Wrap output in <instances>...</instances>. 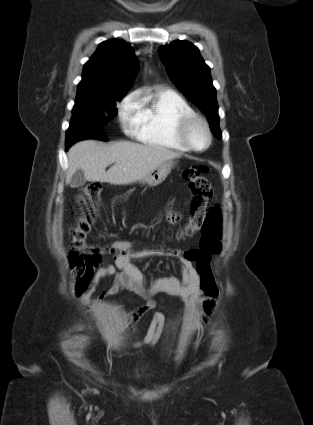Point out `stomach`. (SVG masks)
I'll use <instances>...</instances> for the list:
<instances>
[{"mask_svg": "<svg viewBox=\"0 0 313 425\" xmlns=\"http://www.w3.org/2000/svg\"><path fill=\"white\" fill-rule=\"evenodd\" d=\"M173 166L174 162L172 160L161 163L157 168L141 179L142 183H146L151 187L161 184L171 172Z\"/></svg>", "mask_w": 313, "mask_h": 425, "instance_id": "obj_1", "label": "stomach"}]
</instances>
